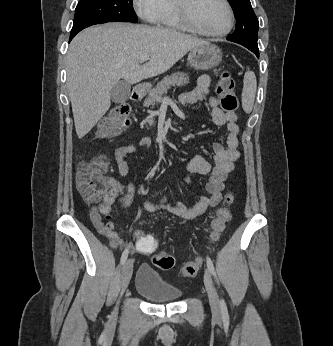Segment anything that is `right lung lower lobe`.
<instances>
[{"mask_svg": "<svg viewBox=\"0 0 333 346\" xmlns=\"http://www.w3.org/2000/svg\"><path fill=\"white\" fill-rule=\"evenodd\" d=\"M75 35H76V34H70V40H69V41H71L72 38H73Z\"/></svg>", "mask_w": 333, "mask_h": 346, "instance_id": "obj_1", "label": "right lung lower lobe"}]
</instances>
